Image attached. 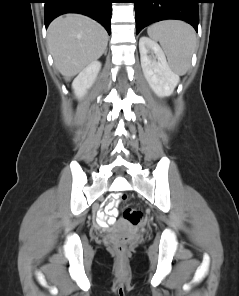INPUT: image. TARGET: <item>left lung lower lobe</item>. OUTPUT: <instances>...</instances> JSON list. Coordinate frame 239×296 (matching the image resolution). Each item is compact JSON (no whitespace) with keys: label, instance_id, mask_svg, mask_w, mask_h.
Wrapping results in <instances>:
<instances>
[{"label":"left lung lower lobe","instance_id":"0a47b994","mask_svg":"<svg viewBox=\"0 0 239 296\" xmlns=\"http://www.w3.org/2000/svg\"><path fill=\"white\" fill-rule=\"evenodd\" d=\"M136 12V34L145 26L164 19H179L198 32L200 0H133Z\"/></svg>","mask_w":239,"mask_h":296}]
</instances>
